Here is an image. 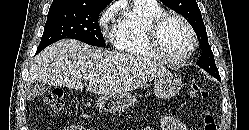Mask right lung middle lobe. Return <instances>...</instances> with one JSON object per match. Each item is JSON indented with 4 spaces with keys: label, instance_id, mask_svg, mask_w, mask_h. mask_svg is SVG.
Returning a JSON list of instances; mask_svg holds the SVG:
<instances>
[{
    "label": "right lung middle lobe",
    "instance_id": "dd1d6c3e",
    "mask_svg": "<svg viewBox=\"0 0 249 130\" xmlns=\"http://www.w3.org/2000/svg\"><path fill=\"white\" fill-rule=\"evenodd\" d=\"M105 6L51 5L37 53L50 44L64 38H72L86 44L105 47L98 18Z\"/></svg>",
    "mask_w": 249,
    "mask_h": 130
}]
</instances>
